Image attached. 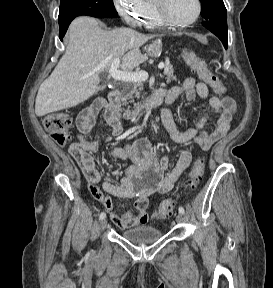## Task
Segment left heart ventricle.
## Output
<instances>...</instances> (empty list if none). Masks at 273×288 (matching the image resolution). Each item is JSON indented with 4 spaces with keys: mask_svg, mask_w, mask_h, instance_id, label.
I'll list each match as a JSON object with an SVG mask.
<instances>
[{
    "mask_svg": "<svg viewBox=\"0 0 273 288\" xmlns=\"http://www.w3.org/2000/svg\"><path fill=\"white\" fill-rule=\"evenodd\" d=\"M162 5L168 16L177 22H185L192 19L197 10L195 0H164Z\"/></svg>",
    "mask_w": 273,
    "mask_h": 288,
    "instance_id": "obj_1",
    "label": "left heart ventricle"
}]
</instances>
